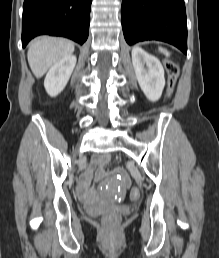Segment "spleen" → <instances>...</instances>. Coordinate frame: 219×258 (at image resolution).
Segmentation results:
<instances>
[{"mask_svg":"<svg viewBox=\"0 0 219 258\" xmlns=\"http://www.w3.org/2000/svg\"><path fill=\"white\" fill-rule=\"evenodd\" d=\"M159 51L162 52V53H164L166 56H169V55H170V53H169L166 49H164V48H162V47H159Z\"/></svg>","mask_w":219,"mask_h":258,"instance_id":"obj_1","label":"spleen"}]
</instances>
